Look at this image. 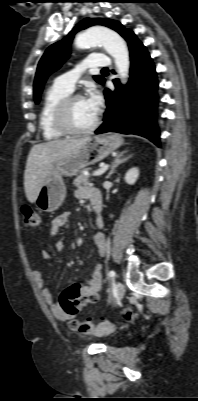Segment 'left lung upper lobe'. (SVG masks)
Returning <instances> with one entry per match:
<instances>
[{
    "mask_svg": "<svg viewBox=\"0 0 198 401\" xmlns=\"http://www.w3.org/2000/svg\"><path fill=\"white\" fill-rule=\"evenodd\" d=\"M92 25H103L107 26L116 32H118L123 38L131 31L125 29L119 22L110 19L86 18L80 22L70 34L62 41L56 42L51 45L43 54L37 67V72L34 81V99L36 103H39L40 95L43 89L47 77L56 71L64 61L69 57L70 54V43L73 39L74 34L80 30L90 27ZM95 80L100 84L104 83V78L101 76H94Z\"/></svg>",
    "mask_w": 198,
    "mask_h": 401,
    "instance_id": "obj_1",
    "label": "left lung upper lobe"
}]
</instances>
